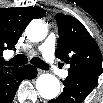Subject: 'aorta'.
Listing matches in <instances>:
<instances>
[{"label": "aorta", "mask_w": 103, "mask_h": 103, "mask_svg": "<svg viewBox=\"0 0 103 103\" xmlns=\"http://www.w3.org/2000/svg\"><path fill=\"white\" fill-rule=\"evenodd\" d=\"M48 33L47 26L41 20H33L26 28V36L31 42L43 41ZM36 89L44 99L51 100L60 93V82L52 74H42L36 80Z\"/></svg>", "instance_id": "aorta-1"}]
</instances>
